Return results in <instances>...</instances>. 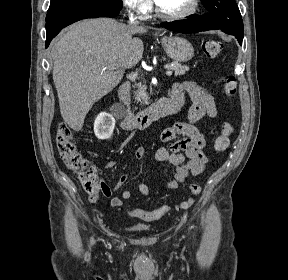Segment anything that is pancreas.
Returning <instances> with one entry per match:
<instances>
[{
  "label": "pancreas",
  "mask_w": 288,
  "mask_h": 280,
  "mask_svg": "<svg viewBox=\"0 0 288 280\" xmlns=\"http://www.w3.org/2000/svg\"><path fill=\"white\" fill-rule=\"evenodd\" d=\"M167 67H169L171 70L175 72V76H180L186 73V71L189 70V67L186 65H181L178 62H172L171 64H167ZM137 90L135 91V99L137 102L145 103L147 104L148 102V95L146 93L147 87L145 85H142L141 83H138L137 85Z\"/></svg>",
  "instance_id": "obj_1"
}]
</instances>
